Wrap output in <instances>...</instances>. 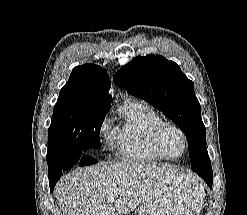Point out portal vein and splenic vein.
I'll use <instances>...</instances> for the list:
<instances>
[{"mask_svg": "<svg viewBox=\"0 0 247 215\" xmlns=\"http://www.w3.org/2000/svg\"><path fill=\"white\" fill-rule=\"evenodd\" d=\"M115 199V196L114 195H110L109 196V200L113 201Z\"/></svg>", "mask_w": 247, "mask_h": 215, "instance_id": "18ae733b", "label": "portal vein and splenic vein"}]
</instances>
